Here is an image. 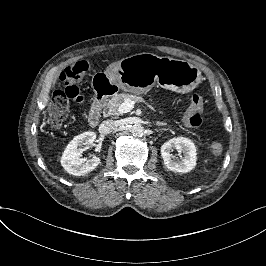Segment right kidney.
Wrapping results in <instances>:
<instances>
[{
  "instance_id": "right-kidney-1",
  "label": "right kidney",
  "mask_w": 266,
  "mask_h": 266,
  "mask_svg": "<svg viewBox=\"0 0 266 266\" xmlns=\"http://www.w3.org/2000/svg\"><path fill=\"white\" fill-rule=\"evenodd\" d=\"M95 140L96 134L94 132H84L75 136L64 151L74 162L75 176L85 175L100 164L101 159L97 156L92 157L86 164H83V160L80 159L83 151L89 149Z\"/></svg>"
}]
</instances>
